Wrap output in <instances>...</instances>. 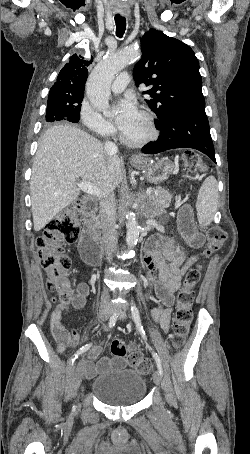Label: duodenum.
Segmentation results:
<instances>
[{"mask_svg": "<svg viewBox=\"0 0 250 454\" xmlns=\"http://www.w3.org/2000/svg\"><path fill=\"white\" fill-rule=\"evenodd\" d=\"M95 209L88 205L83 211V233L80 241L81 257L89 265L101 264V243L94 225Z\"/></svg>", "mask_w": 250, "mask_h": 454, "instance_id": "obj_1", "label": "duodenum"}]
</instances>
